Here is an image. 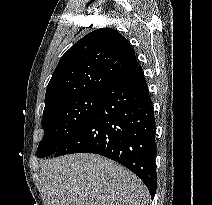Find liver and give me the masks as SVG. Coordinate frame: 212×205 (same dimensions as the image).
I'll return each instance as SVG.
<instances>
[{"label":"liver","instance_id":"6515ba94","mask_svg":"<svg viewBox=\"0 0 212 205\" xmlns=\"http://www.w3.org/2000/svg\"><path fill=\"white\" fill-rule=\"evenodd\" d=\"M40 174L47 205H146L149 197L135 174L96 154L46 160Z\"/></svg>","mask_w":212,"mask_h":205}]
</instances>
